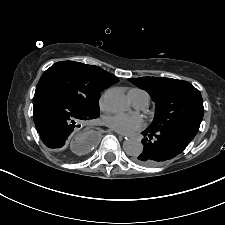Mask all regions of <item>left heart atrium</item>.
<instances>
[{"instance_id":"left-heart-atrium-1","label":"left heart atrium","mask_w":225,"mask_h":225,"mask_svg":"<svg viewBox=\"0 0 225 225\" xmlns=\"http://www.w3.org/2000/svg\"><path fill=\"white\" fill-rule=\"evenodd\" d=\"M105 123L113 130L123 134L135 132L144 126V122L139 116L123 113L108 115Z\"/></svg>"}]
</instances>
